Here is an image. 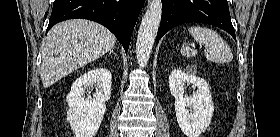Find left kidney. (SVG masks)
<instances>
[{"label": "left kidney", "instance_id": "obj_1", "mask_svg": "<svg viewBox=\"0 0 280 137\" xmlns=\"http://www.w3.org/2000/svg\"><path fill=\"white\" fill-rule=\"evenodd\" d=\"M197 88L192 96L184 97L185 85ZM170 92L175 97L176 118L187 137H199L210 125L214 105L207 81L189 71L174 69L169 76Z\"/></svg>", "mask_w": 280, "mask_h": 137}]
</instances>
